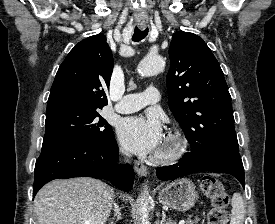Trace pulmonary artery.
Wrapping results in <instances>:
<instances>
[{"label": "pulmonary artery", "mask_w": 275, "mask_h": 224, "mask_svg": "<svg viewBox=\"0 0 275 224\" xmlns=\"http://www.w3.org/2000/svg\"><path fill=\"white\" fill-rule=\"evenodd\" d=\"M161 99V92L155 87H148L142 93L125 95L115 105V110L120 113H132L146 106L157 103Z\"/></svg>", "instance_id": "pulmonary-artery-1"}]
</instances>
